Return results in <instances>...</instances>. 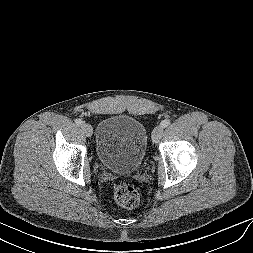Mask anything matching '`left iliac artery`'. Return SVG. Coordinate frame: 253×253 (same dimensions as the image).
Here are the masks:
<instances>
[{"label":"left iliac artery","instance_id":"obj_1","mask_svg":"<svg viewBox=\"0 0 253 253\" xmlns=\"http://www.w3.org/2000/svg\"><path fill=\"white\" fill-rule=\"evenodd\" d=\"M169 125H170V120H168V119H165L161 122V126L164 128L168 127Z\"/></svg>","mask_w":253,"mask_h":253}]
</instances>
